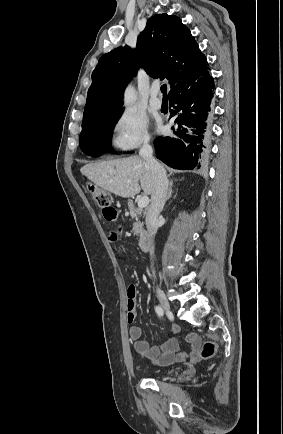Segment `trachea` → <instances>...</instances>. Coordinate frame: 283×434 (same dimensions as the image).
<instances>
[{"instance_id": "3493384b", "label": "trachea", "mask_w": 283, "mask_h": 434, "mask_svg": "<svg viewBox=\"0 0 283 434\" xmlns=\"http://www.w3.org/2000/svg\"><path fill=\"white\" fill-rule=\"evenodd\" d=\"M161 92L163 94V97H167V85L166 84H163L161 86Z\"/></svg>"}]
</instances>
